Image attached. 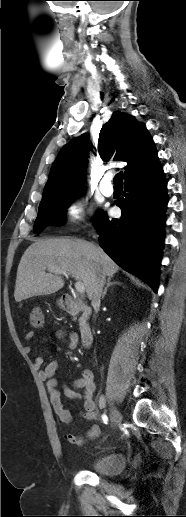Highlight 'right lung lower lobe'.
Listing matches in <instances>:
<instances>
[{"mask_svg": "<svg viewBox=\"0 0 186 517\" xmlns=\"http://www.w3.org/2000/svg\"><path fill=\"white\" fill-rule=\"evenodd\" d=\"M125 191V198L116 203L122 210L120 219L109 220L104 212L95 219L100 246L118 265L157 292L168 202L161 164L156 162L126 180Z\"/></svg>", "mask_w": 186, "mask_h": 517, "instance_id": "98d812e1", "label": "right lung lower lobe"}]
</instances>
